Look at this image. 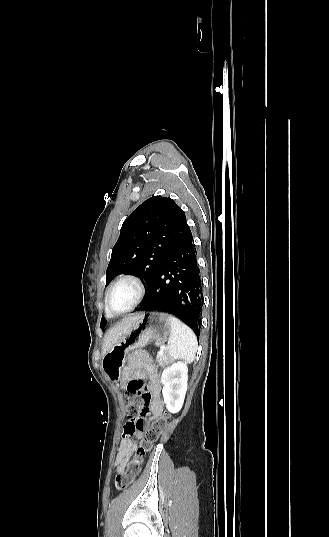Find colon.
Listing matches in <instances>:
<instances>
[{"label":"colon","instance_id":"1","mask_svg":"<svg viewBox=\"0 0 329 537\" xmlns=\"http://www.w3.org/2000/svg\"><path fill=\"white\" fill-rule=\"evenodd\" d=\"M149 399V395L145 391L139 393L136 397L129 396L126 399L127 425L140 432L141 440L137 448V456L122 473L115 477L114 486L117 490H124L134 482L139 474L144 455L152 448L166 428L167 412L151 425H147L144 422L143 416L146 414Z\"/></svg>","mask_w":329,"mask_h":537}]
</instances>
